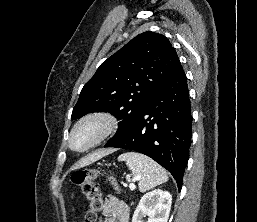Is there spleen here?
<instances>
[{"mask_svg":"<svg viewBox=\"0 0 257 222\" xmlns=\"http://www.w3.org/2000/svg\"><path fill=\"white\" fill-rule=\"evenodd\" d=\"M118 161H125L133 174L134 180L139 181L140 192H146L157 185L168 181L166 171L151 158L136 152L123 153Z\"/></svg>","mask_w":257,"mask_h":222,"instance_id":"obj_1","label":"spleen"}]
</instances>
